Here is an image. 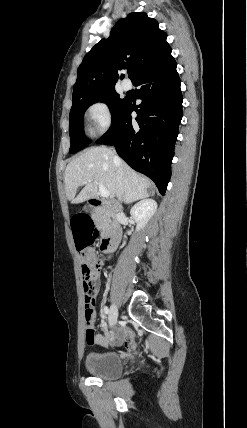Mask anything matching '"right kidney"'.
<instances>
[{
  "label": "right kidney",
  "mask_w": 247,
  "mask_h": 428,
  "mask_svg": "<svg viewBox=\"0 0 247 428\" xmlns=\"http://www.w3.org/2000/svg\"><path fill=\"white\" fill-rule=\"evenodd\" d=\"M157 210V203L153 199H144L136 203L130 210L131 216L137 223L136 231L143 229Z\"/></svg>",
  "instance_id": "obj_1"
}]
</instances>
